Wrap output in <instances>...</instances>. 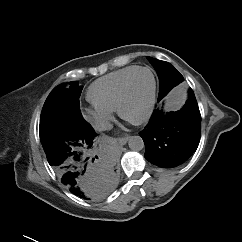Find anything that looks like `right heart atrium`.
<instances>
[{
    "label": "right heart atrium",
    "instance_id": "obj_1",
    "mask_svg": "<svg viewBox=\"0 0 242 242\" xmlns=\"http://www.w3.org/2000/svg\"><path fill=\"white\" fill-rule=\"evenodd\" d=\"M83 116L97 129L105 130L109 128L110 123L113 120V111L110 109L98 108L93 105L83 109Z\"/></svg>",
    "mask_w": 242,
    "mask_h": 242
}]
</instances>
